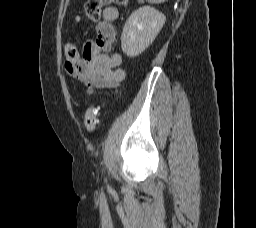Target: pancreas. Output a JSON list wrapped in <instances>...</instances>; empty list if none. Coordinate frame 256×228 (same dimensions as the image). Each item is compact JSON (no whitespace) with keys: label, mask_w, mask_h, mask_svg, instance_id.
I'll use <instances>...</instances> for the list:
<instances>
[{"label":"pancreas","mask_w":256,"mask_h":228,"mask_svg":"<svg viewBox=\"0 0 256 228\" xmlns=\"http://www.w3.org/2000/svg\"><path fill=\"white\" fill-rule=\"evenodd\" d=\"M144 0H138L139 3H143Z\"/></svg>","instance_id":"cf45deb5"}]
</instances>
